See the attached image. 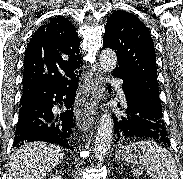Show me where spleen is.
<instances>
[{
	"mask_svg": "<svg viewBox=\"0 0 183 179\" xmlns=\"http://www.w3.org/2000/svg\"><path fill=\"white\" fill-rule=\"evenodd\" d=\"M129 150L138 148L142 151L140 163L143 170L133 169L134 175H140L143 171L153 179H178L176 162L170 152L163 146L150 140H142L129 144Z\"/></svg>",
	"mask_w": 183,
	"mask_h": 179,
	"instance_id": "1",
	"label": "spleen"
}]
</instances>
